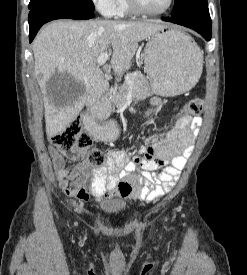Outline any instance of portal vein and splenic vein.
Returning <instances> with one entry per match:
<instances>
[{
	"instance_id": "1",
	"label": "portal vein and splenic vein",
	"mask_w": 247,
	"mask_h": 275,
	"mask_svg": "<svg viewBox=\"0 0 247 275\" xmlns=\"http://www.w3.org/2000/svg\"><path fill=\"white\" fill-rule=\"evenodd\" d=\"M109 58V53L105 52L103 54H101L98 59H97V64L99 66H102L106 63V61L108 60ZM137 73H132V74H128L126 76V80L129 81L131 77L135 76Z\"/></svg>"
}]
</instances>
